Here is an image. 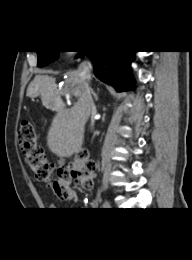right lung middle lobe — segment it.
Returning a JSON list of instances; mask_svg holds the SVG:
<instances>
[{"mask_svg": "<svg viewBox=\"0 0 192 260\" xmlns=\"http://www.w3.org/2000/svg\"><path fill=\"white\" fill-rule=\"evenodd\" d=\"M59 51H37L38 67H43L58 58Z\"/></svg>", "mask_w": 192, "mask_h": 260, "instance_id": "obj_1", "label": "right lung middle lobe"}]
</instances>
